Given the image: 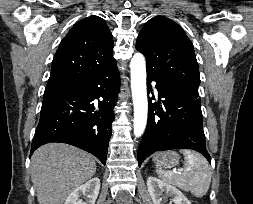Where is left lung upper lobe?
Returning a JSON list of instances; mask_svg holds the SVG:
<instances>
[{
	"label": "left lung upper lobe",
	"mask_w": 253,
	"mask_h": 204,
	"mask_svg": "<svg viewBox=\"0 0 253 204\" xmlns=\"http://www.w3.org/2000/svg\"><path fill=\"white\" fill-rule=\"evenodd\" d=\"M136 49L146 58L147 74L170 86L198 91L199 68L192 42L182 27L164 16L141 29Z\"/></svg>",
	"instance_id": "1"
}]
</instances>
